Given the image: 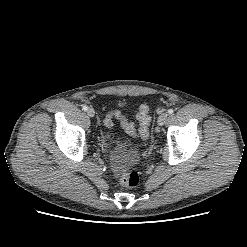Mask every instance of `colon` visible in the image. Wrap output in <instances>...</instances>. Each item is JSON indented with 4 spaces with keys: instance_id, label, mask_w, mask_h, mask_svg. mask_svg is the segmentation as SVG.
<instances>
[{
    "instance_id": "obj_1",
    "label": "colon",
    "mask_w": 247,
    "mask_h": 247,
    "mask_svg": "<svg viewBox=\"0 0 247 247\" xmlns=\"http://www.w3.org/2000/svg\"><path fill=\"white\" fill-rule=\"evenodd\" d=\"M119 119L125 131L128 134L136 135L140 139H146L149 136V128L151 123L150 108L146 104H141L138 108L137 120L139 129L136 130L134 124L128 121L120 111H113L104 120L107 128L113 126V119ZM140 173L136 170H125L120 177V183L125 188H136L140 184Z\"/></svg>"
}]
</instances>
